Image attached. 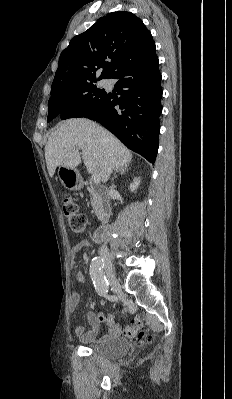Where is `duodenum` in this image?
Segmentation results:
<instances>
[{"mask_svg": "<svg viewBox=\"0 0 232 399\" xmlns=\"http://www.w3.org/2000/svg\"><path fill=\"white\" fill-rule=\"evenodd\" d=\"M109 232V226L108 225H103L97 228L93 234V240L94 242H102L103 240L106 239L107 234Z\"/></svg>", "mask_w": 232, "mask_h": 399, "instance_id": "obj_1", "label": "duodenum"}]
</instances>
